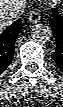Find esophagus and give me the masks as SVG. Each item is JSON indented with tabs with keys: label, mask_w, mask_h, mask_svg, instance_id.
<instances>
[{
	"label": "esophagus",
	"mask_w": 63,
	"mask_h": 107,
	"mask_svg": "<svg viewBox=\"0 0 63 107\" xmlns=\"http://www.w3.org/2000/svg\"><path fill=\"white\" fill-rule=\"evenodd\" d=\"M40 18H41V16H40L39 12L36 10H33L30 12V14L28 16V21L30 23H37L40 21Z\"/></svg>",
	"instance_id": "obj_1"
}]
</instances>
